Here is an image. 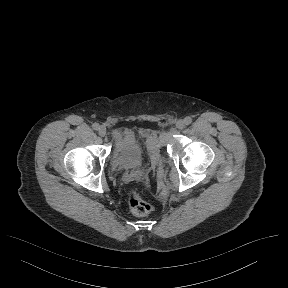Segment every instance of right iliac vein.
Masks as SVG:
<instances>
[{"label": "right iliac vein", "instance_id": "1", "mask_svg": "<svg viewBox=\"0 0 288 288\" xmlns=\"http://www.w3.org/2000/svg\"><path fill=\"white\" fill-rule=\"evenodd\" d=\"M98 133H99V135H100L101 137H104V136H106V134H107V130H106V128H105L104 126H101L100 129H99V131H98Z\"/></svg>", "mask_w": 288, "mask_h": 288}]
</instances>
